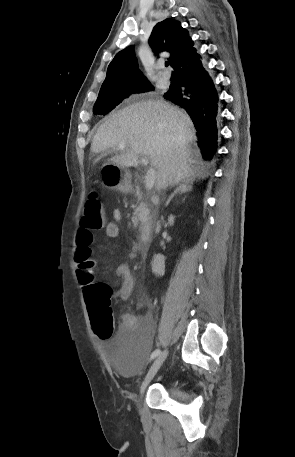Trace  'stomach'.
I'll return each mask as SVG.
<instances>
[{
  "label": "stomach",
  "instance_id": "obj_1",
  "mask_svg": "<svg viewBox=\"0 0 295 457\" xmlns=\"http://www.w3.org/2000/svg\"><path fill=\"white\" fill-rule=\"evenodd\" d=\"M101 178L106 188L127 193L131 190V181L128 171L114 163L107 162L101 168Z\"/></svg>",
  "mask_w": 295,
  "mask_h": 457
}]
</instances>
